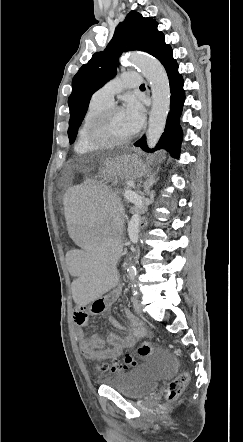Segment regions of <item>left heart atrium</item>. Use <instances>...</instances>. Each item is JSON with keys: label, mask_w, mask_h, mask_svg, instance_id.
<instances>
[{"label": "left heart atrium", "mask_w": 243, "mask_h": 442, "mask_svg": "<svg viewBox=\"0 0 243 442\" xmlns=\"http://www.w3.org/2000/svg\"><path fill=\"white\" fill-rule=\"evenodd\" d=\"M122 111L132 132H137L144 120V109L141 104L136 100H129Z\"/></svg>", "instance_id": "obj_1"}]
</instances>
